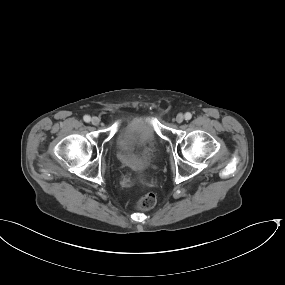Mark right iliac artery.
I'll use <instances>...</instances> for the list:
<instances>
[{"mask_svg":"<svg viewBox=\"0 0 285 285\" xmlns=\"http://www.w3.org/2000/svg\"><path fill=\"white\" fill-rule=\"evenodd\" d=\"M83 119H84L85 122H90L91 117H90L89 115H85V116L83 117Z\"/></svg>","mask_w":285,"mask_h":285,"instance_id":"obj_1","label":"right iliac artery"}]
</instances>
